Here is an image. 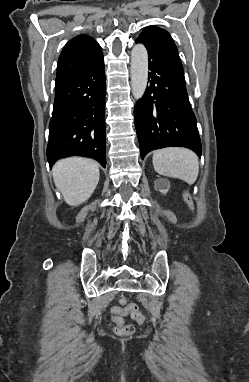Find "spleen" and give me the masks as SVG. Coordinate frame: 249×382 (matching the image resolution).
Masks as SVG:
<instances>
[{"instance_id": "1", "label": "spleen", "mask_w": 249, "mask_h": 382, "mask_svg": "<svg viewBox=\"0 0 249 382\" xmlns=\"http://www.w3.org/2000/svg\"><path fill=\"white\" fill-rule=\"evenodd\" d=\"M153 167L166 177L178 178L193 184L199 173L197 155L186 148L168 147L153 152Z\"/></svg>"}]
</instances>
